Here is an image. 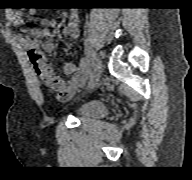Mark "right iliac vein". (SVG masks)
Here are the masks:
<instances>
[{"label": "right iliac vein", "instance_id": "right-iliac-vein-1", "mask_svg": "<svg viewBox=\"0 0 192 180\" xmlns=\"http://www.w3.org/2000/svg\"><path fill=\"white\" fill-rule=\"evenodd\" d=\"M96 55V54H95ZM97 61L96 65L94 67V70L91 75V79L88 85V89H94L95 86L97 85L99 78H100V73H101V63L99 61V58L96 56Z\"/></svg>", "mask_w": 192, "mask_h": 180}]
</instances>
